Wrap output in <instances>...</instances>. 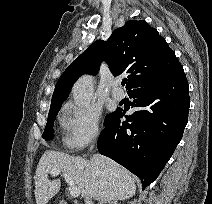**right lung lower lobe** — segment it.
<instances>
[{"mask_svg":"<svg viewBox=\"0 0 212 204\" xmlns=\"http://www.w3.org/2000/svg\"><path fill=\"white\" fill-rule=\"evenodd\" d=\"M137 110L120 125L117 109L98 140L100 154L138 176L145 189L155 181L180 142L188 120L189 90L183 68L128 92Z\"/></svg>","mask_w":212,"mask_h":204,"instance_id":"right-lung-lower-lobe-1","label":"right lung lower lobe"}]
</instances>
